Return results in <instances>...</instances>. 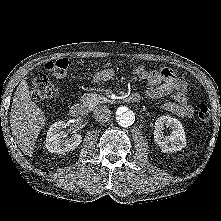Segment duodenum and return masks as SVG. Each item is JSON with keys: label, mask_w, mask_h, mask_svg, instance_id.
I'll list each match as a JSON object with an SVG mask.
<instances>
[{"label": "duodenum", "mask_w": 221, "mask_h": 221, "mask_svg": "<svg viewBox=\"0 0 221 221\" xmlns=\"http://www.w3.org/2000/svg\"><path fill=\"white\" fill-rule=\"evenodd\" d=\"M128 102L137 103L140 101L139 94H131L127 98ZM91 104V100H86L81 103H75L70 107V115L73 117H83L87 114L88 108Z\"/></svg>", "instance_id": "obj_1"}]
</instances>
